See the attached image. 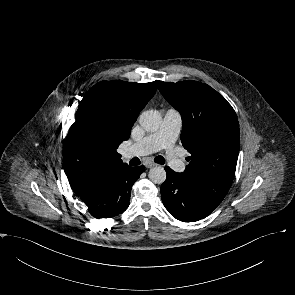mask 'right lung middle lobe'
<instances>
[{
	"instance_id": "1",
	"label": "right lung middle lobe",
	"mask_w": 295,
	"mask_h": 295,
	"mask_svg": "<svg viewBox=\"0 0 295 295\" xmlns=\"http://www.w3.org/2000/svg\"><path fill=\"white\" fill-rule=\"evenodd\" d=\"M75 117L87 130H114L125 122L127 113L116 86L110 81H103L84 95Z\"/></svg>"
}]
</instances>
